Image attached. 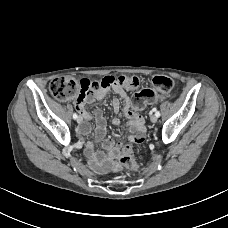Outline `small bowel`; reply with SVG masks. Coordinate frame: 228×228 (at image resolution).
<instances>
[{"label":"small bowel","instance_id":"c3829d8e","mask_svg":"<svg viewBox=\"0 0 228 228\" xmlns=\"http://www.w3.org/2000/svg\"><path fill=\"white\" fill-rule=\"evenodd\" d=\"M111 90L118 94L124 100L123 111L129 119L127 127L130 132V141L134 143H142L145 140L146 135V128L144 126L143 118L133 111L131 101L126 94V91L120 85H113L111 87ZM107 91L108 89L101 90L96 94H86L82 97H78L75 100L76 109L82 117V124L78 129L79 133L87 134L91 130V127L89 125L91 114L88 111L87 105L95 101H101L106 96ZM111 104L114 112L117 113L120 110V100L118 98H113ZM94 116L96 120L97 140L102 141L103 148L105 150L102 165L104 166V168H118L115 160L120 154L121 145L119 143H115L111 139H105L106 121L103 117L101 109L96 108L94 110ZM112 124L114 126H117L120 124V120L118 118H114L112 120Z\"/></svg>","mask_w":228,"mask_h":228}]
</instances>
